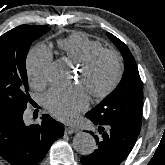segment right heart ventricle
Wrapping results in <instances>:
<instances>
[{"mask_svg": "<svg viewBox=\"0 0 165 165\" xmlns=\"http://www.w3.org/2000/svg\"><path fill=\"white\" fill-rule=\"evenodd\" d=\"M57 46L69 60L78 65L93 52L103 48L99 41L82 32L58 39Z\"/></svg>", "mask_w": 165, "mask_h": 165, "instance_id": "obj_1", "label": "right heart ventricle"}]
</instances>
